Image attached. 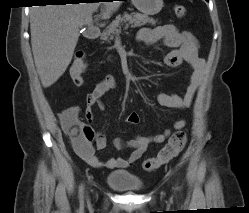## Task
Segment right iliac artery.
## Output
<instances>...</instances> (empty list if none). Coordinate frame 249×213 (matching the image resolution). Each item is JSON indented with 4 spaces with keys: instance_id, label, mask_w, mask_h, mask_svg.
Segmentation results:
<instances>
[{
    "instance_id": "82829eb1",
    "label": "right iliac artery",
    "mask_w": 249,
    "mask_h": 213,
    "mask_svg": "<svg viewBox=\"0 0 249 213\" xmlns=\"http://www.w3.org/2000/svg\"><path fill=\"white\" fill-rule=\"evenodd\" d=\"M83 190H84V186H83V184H81L80 187H79V198H80V200H83Z\"/></svg>"
}]
</instances>
